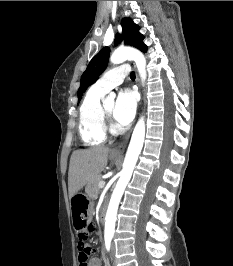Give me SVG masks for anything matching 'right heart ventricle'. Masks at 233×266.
I'll return each mask as SVG.
<instances>
[{
  "mask_svg": "<svg viewBox=\"0 0 233 266\" xmlns=\"http://www.w3.org/2000/svg\"><path fill=\"white\" fill-rule=\"evenodd\" d=\"M106 92L94 85L86 92L79 108V135L87 146H96L106 141V126L101 112V99Z\"/></svg>",
  "mask_w": 233,
  "mask_h": 266,
  "instance_id": "1",
  "label": "right heart ventricle"
}]
</instances>
